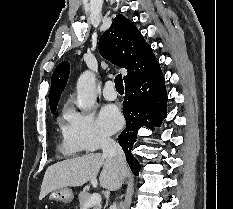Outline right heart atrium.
<instances>
[{
    "instance_id": "right-heart-atrium-1",
    "label": "right heart atrium",
    "mask_w": 233,
    "mask_h": 209,
    "mask_svg": "<svg viewBox=\"0 0 233 209\" xmlns=\"http://www.w3.org/2000/svg\"><path fill=\"white\" fill-rule=\"evenodd\" d=\"M65 140L81 151H95L112 142L96 123L92 112L70 109L64 126Z\"/></svg>"
}]
</instances>
